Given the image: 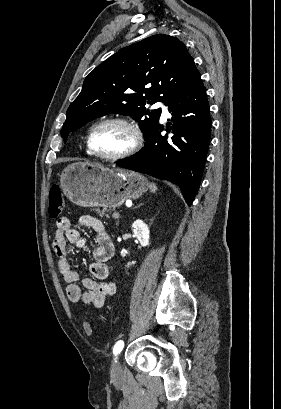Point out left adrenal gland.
I'll list each match as a JSON object with an SVG mask.
<instances>
[{"label": "left adrenal gland", "mask_w": 281, "mask_h": 409, "mask_svg": "<svg viewBox=\"0 0 281 409\" xmlns=\"http://www.w3.org/2000/svg\"><path fill=\"white\" fill-rule=\"evenodd\" d=\"M141 205H143V202H141ZM141 205H138V207H141ZM135 209H137V207H135Z\"/></svg>", "instance_id": "1"}]
</instances>
